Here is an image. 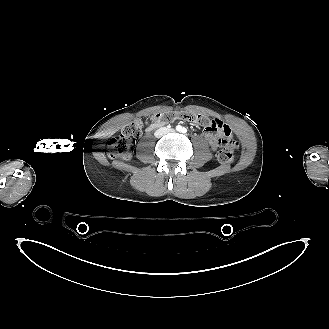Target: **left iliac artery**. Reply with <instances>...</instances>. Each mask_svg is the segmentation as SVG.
I'll return each mask as SVG.
<instances>
[{
  "label": "left iliac artery",
  "instance_id": "1",
  "mask_svg": "<svg viewBox=\"0 0 329 329\" xmlns=\"http://www.w3.org/2000/svg\"><path fill=\"white\" fill-rule=\"evenodd\" d=\"M182 133H186L187 132V129L186 128H182Z\"/></svg>",
  "mask_w": 329,
  "mask_h": 329
}]
</instances>
